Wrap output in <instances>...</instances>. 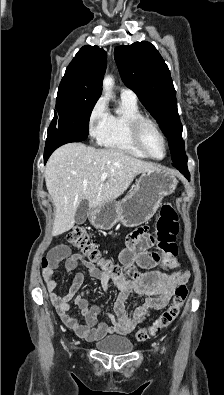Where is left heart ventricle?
<instances>
[{"label": "left heart ventricle", "instance_id": "1", "mask_svg": "<svg viewBox=\"0 0 224 395\" xmlns=\"http://www.w3.org/2000/svg\"><path fill=\"white\" fill-rule=\"evenodd\" d=\"M143 137L148 151L156 158L163 157L165 152L163 141L151 127L145 129Z\"/></svg>", "mask_w": 224, "mask_h": 395}]
</instances>
